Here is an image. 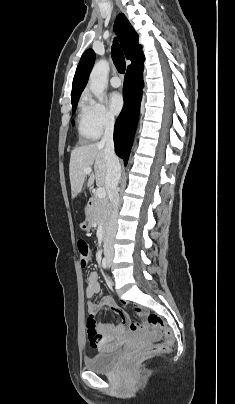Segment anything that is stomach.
Segmentation results:
<instances>
[{
	"label": "stomach",
	"mask_w": 235,
	"mask_h": 404,
	"mask_svg": "<svg viewBox=\"0 0 235 404\" xmlns=\"http://www.w3.org/2000/svg\"><path fill=\"white\" fill-rule=\"evenodd\" d=\"M80 228L84 231H89L91 229V219H90V213L87 212V218L86 220L80 224Z\"/></svg>",
	"instance_id": "obj_1"
}]
</instances>
